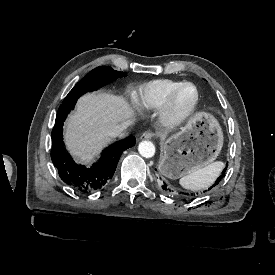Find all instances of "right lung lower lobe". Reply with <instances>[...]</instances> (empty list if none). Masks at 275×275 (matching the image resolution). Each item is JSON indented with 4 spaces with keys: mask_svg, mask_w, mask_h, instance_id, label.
Returning a JSON list of instances; mask_svg holds the SVG:
<instances>
[{
    "mask_svg": "<svg viewBox=\"0 0 275 275\" xmlns=\"http://www.w3.org/2000/svg\"><path fill=\"white\" fill-rule=\"evenodd\" d=\"M76 102L62 103L58 109L52 130L51 159L60 178L81 193H90L101 189L112 178L123 151L135 145V137L129 136L115 142L102 152L97 163L90 168L78 165L66 152L63 142V122Z\"/></svg>",
    "mask_w": 275,
    "mask_h": 275,
    "instance_id": "1",
    "label": "right lung lower lobe"
}]
</instances>
